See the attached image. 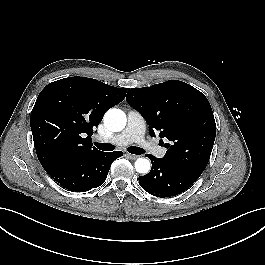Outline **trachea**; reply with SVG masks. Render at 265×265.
Listing matches in <instances>:
<instances>
[{"label": "trachea", "instance_id": "trachea-1", "mask_svg": "<svg viewBox=\"0 0 265 265\" xmlns=\"http://www.w3.org/2000/svg\"><path fill=\"white\" fill-rule=\"evenodd\" d=\"M95 145L99 150H102V151L114 150V146L112 144H109V143H95ZM127 150H128V152H130L132 154H136V155H140V154H143L145 152L143 148L136 147V146H131Z\"/></svg>", "mask_w": 265, "mask_h": 265}]
</instances>
